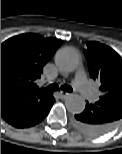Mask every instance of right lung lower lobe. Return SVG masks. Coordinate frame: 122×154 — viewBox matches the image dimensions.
Instances as JSON below:
<instances>
[{
    "label": "right lung lower lobe",
    "mask_w": 122,
    "mask_h": 154,
    "mask_svg": "<svg viewBox=\"0 0 122 154\" xmlns=\"http://www.w3.org/2000/svg\"><path fill=\"white\" fill-rule=\"evenodd\" d=\"M54 101V97L51 96V98L46 102V104L40 109L27 113L23 117L12 122L11 125L16 128H26L40 123L48 115Z\"/></svg>",
    "instance_id": "obj_1"
}]
</instances>
